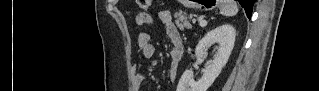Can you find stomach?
Masks as SVG:
<instances>
[{
    "mask_svg": "<svg viewBox=\"0 0 319 91\" xmlns=\"http://www.w3.org/2000/svg\"><path fill=\"white\" fill-rule=\"evenodd\" d=\"M183 2L186 3L189 7L200 8L204 10H211L217 4V0H202V1H194V2L183 1Z\"/></svg>",
    "mask_w": 319,
    "mask_h": 91,
    "instance_id": "stomach-1",
    "label": "stomach"
}]
</instances>
